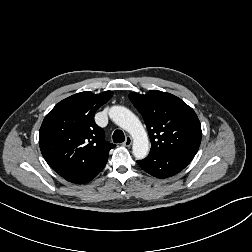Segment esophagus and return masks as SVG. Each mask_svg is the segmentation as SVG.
I'll return each mask as SVG.
<instances>
[{"instance_id":"esophagus-1","label":"esophagus","mask_w":252,"mask_h":252,"mask_svg":"<svg viewBox=\"0 0 252 252\" xmlns=\"http://www.w3.org/2000/svg\"><path fill=\"white\" fill-rule=\"evenodd\" d=\"M131 144H132L131 136H127L124 143H123V145L126 146V147H129V146H131Z\"/></svg>"}]
</instances>
